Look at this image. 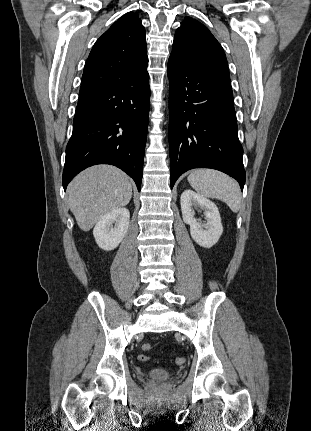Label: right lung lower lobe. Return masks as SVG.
I'll use <instances>...</instances> for the list:
<instances>
[{
    "instance_id": "right-lung-lower-lobe-1",
    "label": "right lung lower lobe",
    "mask_w": 311,
    "mask_h": 431,
    "mask_svg": "<svg viewBox=\"0 0 311 431\" xmlns=\"http://www.w3.org/2000/svg\"><path fill=\"white\" fill-rule=\"evenodd\" d=\"M149 75L79 94L66 147L63 187L95 164L119 167L141 188L150 108Z\"/></svg>"
}]
</instances>
